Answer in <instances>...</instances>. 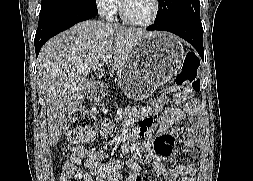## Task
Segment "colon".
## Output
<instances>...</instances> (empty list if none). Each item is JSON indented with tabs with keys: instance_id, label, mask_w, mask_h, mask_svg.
<instances>
[{
	"instance_id": "5ec220e1",
	"label": "colon",
	"mask_w": 253,
	"mask_h": 181,
	"mask_svg": "<svg viewBox=\"0 0 253 181\" xmlns=\"http://www.w3.org/2000/svg\"><path fill=\"white\" fill-rule=\"evenodd\" d=\"M199 61L193 54H188L185 58L183 67L177 75L176 84L188 92L198 91L200 88V81L197 77ZM168 96V92L163 94V98ZM96 130V120L87 111H76L67 123L65 135L74 142H84L89 139ZM61 181H88V178L76 170L75 167L70 166L66 168L60 177Z\"/></svg>"
}]
</instances>
